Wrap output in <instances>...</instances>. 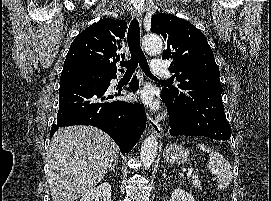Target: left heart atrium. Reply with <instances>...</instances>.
Masks as SVG:
<instances>
[{"instance_id":"left-heart-atrium-1","label":"left heart atrium","mask_w":271,"mask_h":201,"mask_svg":"<svg viewBox=\"0 0 271 201\" xmlns=\"http://www.w3.org/2000/svg\"><path fill=\"white\" fill-rule=\"evenodd\" d=\"M140 99L151 108L157 107V102L155 101L153 93L150 89H144L140 94Z\"/></svg>"}]
</instances>
